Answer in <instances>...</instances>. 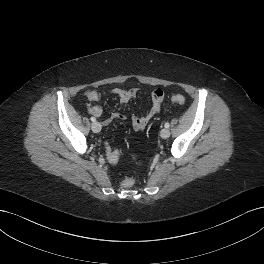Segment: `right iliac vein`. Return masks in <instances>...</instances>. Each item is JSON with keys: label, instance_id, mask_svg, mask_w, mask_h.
<instances>
[{"label": "right iliac vein", "instance_id": "obj_1", "mask_svg": "<svg viewBox=\"0 0 264 264\" xmlns=\"http://www.w3.org/2000/svg\"><path fill=\"white\" fill-rule=\"evenodd\" d=\"M91 128H92V131L95 133H98L101 131V125L99 122L92 123Z\"/></svg>", "mask_w": 264, "mask_h": 264}]
</instances>
